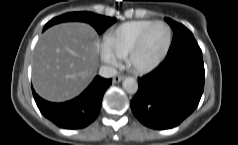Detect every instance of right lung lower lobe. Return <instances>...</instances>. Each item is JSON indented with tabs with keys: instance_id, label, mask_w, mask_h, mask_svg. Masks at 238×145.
<instances>
[{
	"instance_id": "1",
	"label": "right lung lower lobe",
	"mask_w": 238,
	"mask_h": 145,
	"mask_svg": "<svg viewBox=\"0 0 238 145\" xmlns=\"http://www.w3.org/2000/svg\"><path fill=\"white\" fill-rule=\"evenodd\" d=\"M112 79L96 76L78 97L64 103H52L40 98L32 89L40 112L51 122L64 129H80L92 123L99 114L102 98Z\"/></svg>"
}]
</instances>
